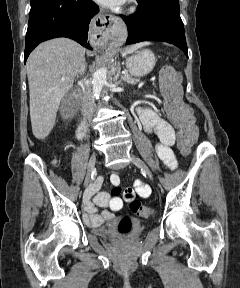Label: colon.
Masks as SVG:
<instances>
[{"label":"colon","instance_id":"1","mask_svg":"<svg viewBox=\"0 0 240 288\" xmlns=\"http://www.w3.org/2000/svg\"><path fill=\"white\" fill-rule=\"evenodd\" d=\"M180 74L171 66L162 68L159 76L160 91L164 99V110L171 123L178 129V142L180 147L188 152L194 144L197 130L193 125L191 109L182 101ZM124 198L129 203L130 210L141 218H149L154 214V210L144 206L135 199L134 192L126 189ZM121 231L130 229L128 219H123L119 226Z\"/></svg>","mask_w":240,"mask_h":288}]
</instances>
